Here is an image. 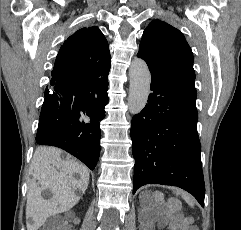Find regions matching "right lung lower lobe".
Segmentation results:
<instances>
[{"label": "right lung lower lobe", "mask_w": 241, "mask_h": 230, "mask_svg": "<svg viewBox=\"0 0 241 230\" xmlns=\"http://www.w3.org/2000/svg\"><path fill=\"white\" fill-rule=\"evenodd\" d=\"M108 78L57 75L45 90L36 142L62 148L95 169Z\"/></svg>", "instance_id": "right-lung-lower-lobe-1"}]
</instances>
